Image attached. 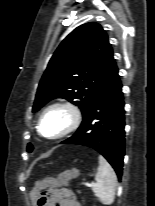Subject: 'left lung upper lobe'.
Masks as SVG:
<instances>
[{
	"instance_id": "obj_1",
	"label": "left lung upper lobe",
	"mask_w": 155,
	"mask_h": 206,
	"mask_svg": "<svg viewBox=\"0 0 155 206\" xmlns=\"http://www.w3.org/2000/svg\"><path fill=\"white\" fill-rule=\"evenodd\" d=\"M107 34L94 22L74 29L59 45L39 83L33 112L49 100L64 98L85 113L117 72ZM31 144L28 151H32Z\"/></svg>"
}]
</instances>
